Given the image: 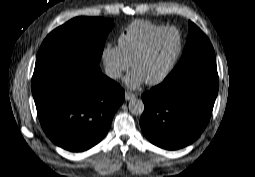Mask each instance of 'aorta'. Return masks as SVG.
Returning a JSON list of instances; mask_svg holds the SVG:
<instances>
[{
  "mask_svg": "<svg viewBox=\"0 0 255 177\" xmlns=\"http://www.w3.org/2000/svg\"><path fill=\"white\" fill-rule=\"evenodd\" d=\"M129 111L136 116H140L144 112V103L141 99L132 98L128 104Z\"/></svg>",
  "mask_w": 255,
  "mask_h": 177,
  "instance_id": "762f6f07",
  "label": "aorta"
}]
</instances>
